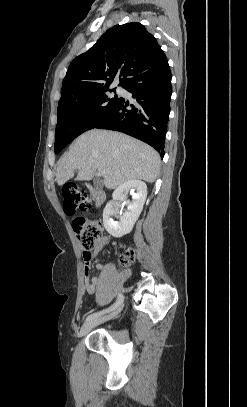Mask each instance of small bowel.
<instances>
[{
  "label": "small bowel",
  "mask_w": 247,
  "mask_h": 407,
  "mask_svg": "<svg viewBox=\"0 0 247 407\" xmlns=\"http://www.w3.org/2000/svg\"><path fill=\"white\" fill-rule=\"evenodd\" d=\"M105 243H106L105 239L101 240L93 253H91L89 256H84L83 255L84 275H85L84 287H85V290L89 294L95 293L96 287H97L98 283L100 282V278L98 276H96V275L92 276L91 281H89V279H88L90 269H91V262L98 255V253L103 248ZM96 269L98 271H102L104 269V267H103L102 264H97ZM130 275H131V272L129 270H125L123 272L124 279H128L130 277Z\"/></svg>",
  "instance_id": "1"
}]
</instances>
